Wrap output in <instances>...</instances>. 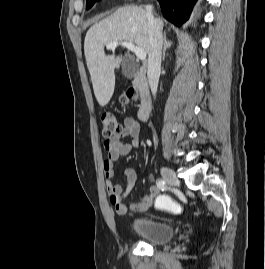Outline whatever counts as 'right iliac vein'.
<instances>
[{
	"mask_svg": "<svg viewBox=\"0 0 265 269\" xmlns=\"http://www.w3.org/2000/svg\"><path fill=\"white\" fill-rule=\"evenodd\" d=\"M161 174H162V177L166 181L167 184L173 185V186L179 185L180 182H179L176 174L171 169H169L167 167H162Z\"/></svg>",
	"mask_w": 265,
	"mask_h": 269,
	"instance_id": "1",
	"label": "right iliac vein"
}]
</instances>
